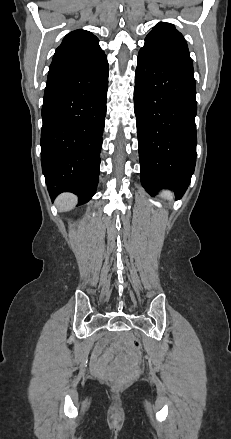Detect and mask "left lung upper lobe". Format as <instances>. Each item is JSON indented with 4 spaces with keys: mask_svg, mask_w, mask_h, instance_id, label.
<instances>
[{
    "mask_svg": "<svg viewBox=\"0 0 231 439\" xmlns=\"http://www.w3.org/2000/svg\"><path fill=\"white\" fill-rule=\"evenodd\" d=\"M141 50L161 59L193 65L186 40L170 23H158L146 36Z\"/></svg>",
    "mask_w": 231,
    "mask_h": 439,
    "instance_id": "5c2ea615",
    "label": "left lung upper lobe"
}]
</instances>
